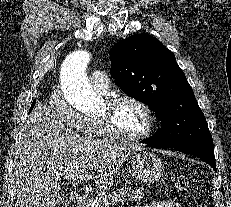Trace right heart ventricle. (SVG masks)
I'll list each match as a JSON object with an SVG mask.
<instances>
[{"label": "right heart ventricle", "mask_w": 231, "mask_h": 207, "mask_svg": "<svg viewBox=\"0 0 231 207\" xmlns=\"http://www.w3.org/2000/svg\"><path fill=\"white\" fill-rule=\"evenodd\" d=\"M84 135L88 138L100 139L105 138L106 134L103 131L102 125L98 119H85Z\"/></svg>", "instance_id": "1"}]
</instances>
